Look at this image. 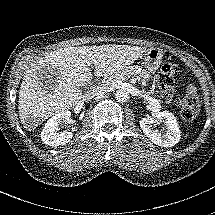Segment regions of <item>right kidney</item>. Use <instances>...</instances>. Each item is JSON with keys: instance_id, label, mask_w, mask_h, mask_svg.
<instances>
[{"instance_id": "1", "label": "right kidney", "mask_w": 215, "mask_h": 215, "mask_svg": "<svg viewBox=\"0 0 215 215\" xmlns=\"http://www.w3.org/2000/svg\"><path fill=\"white\" fill-rule=\"evenodd\" d=\"M71 120V112L63 110L45 124L41 132V139L45 145L59 147L63 144L69 143L73 138L72 131H59L62 125H67Z\"/></svg>"}]
</instances>
